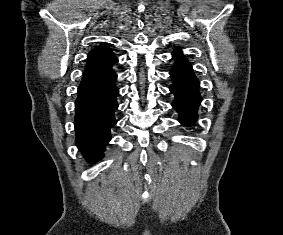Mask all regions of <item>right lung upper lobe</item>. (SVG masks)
I'll return each mask as SVG.
<instances>
[{"label": "right lung upper lobe", "instance_id": "right-lung-upper-lobe-1", "mask_svg": "<svg viewBox=\"0 0 283 235\" xmlns=\"http://www.w3.org/2000/svg\"><path fill=\"white\" fill-rule=\"evenodd\" d=\"M117 62L118 59L107 44L96 47L88 54L83 80L111 72L112 65Z\"/></svg>", "mask_w": 283, "mask_h": 235}]
</instances>
